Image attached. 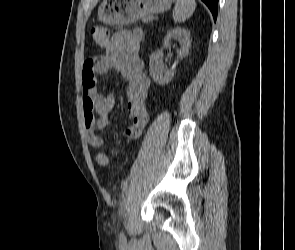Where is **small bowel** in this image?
<instances>
[{
	"label": "small bowel",
	"instance_id": "1",
	"mask_svg": "<svg viewBox=\"0 0 295 250\" xmlns=\"http://www.w3.org/2000/svg\"><path fill=\"white\" fill-rule=\"evenodd\" d=\"M142 32L139 29H124L116 32L102 55L84 62L82 71V94L84 123L87 142L99 149L105 141L99 131L109 124L108 114L115 106L113 94L101 95L96 84L97 77L114 69L127 81L126 109L131 124L125 130L129 138H137L145 128L149 114L147 106L150 79L139 56Z\"/></svg>",
	"mask_w": 295,
	"mask_h": 250
}]
</instances>
